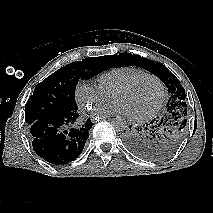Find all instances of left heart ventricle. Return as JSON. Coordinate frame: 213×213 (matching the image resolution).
Here are the masks:
<instances>
[{"label":"left heart ventricle","instance_id":"1","mask_svg":"<svg viewBox=\"0 0 213 213\" xmlns=\"http://www.w3.org/2000/svg\"><path fill=\"white\" fill-rule=\"evenodd\" d=\"M159 98V84L153 79H145L129 90L117 93L113 99L123 103L130 115H142L150 111Z\"/></svg>","mask_w":213,"mask_h":213}]
</instances>
